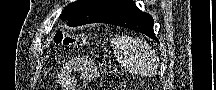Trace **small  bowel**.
I'll list each match as a JSON object with an SVG mask.
<instances>
[{
  "mask_svg": "<svg viewBox=\"0 0 216 90\" xmlns=\"http://www.w3.org/2000/svg\"><path fill=\"white\" fill-rule=\"evenodd\" d=\"M75 72H80L82 78L89 82L95 81L99 76L96 65L91 62L68 63L58 75L60 90H76V80L73 75Z\"/></svg>",
  "mask_w": 216,
  "mask_h": 90,
  "instance_id": "small-bowel-1",
  "label": "small bowel"
}]
</instances>
